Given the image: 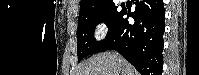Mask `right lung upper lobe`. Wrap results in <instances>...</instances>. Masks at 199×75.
Listing matches in <instances>:
<instances>
[{
    "instance_id": "right-lung-upper-lobe-1",
    "label": "right lung upper lobe",
    "mask_w": 199,
    "mask_h": 75,
    "mask_svg": "<svg viewBox=\"0 0 199 75\" xmlns=\"http://www.w3.org/2000/svg\"><path fill=\"white\" fill-rule=\"evenodd\" d=\"M110 1L112 0H81L79 15L87 13L88 11H91Z\"/></svg>"
}]
</instances>
